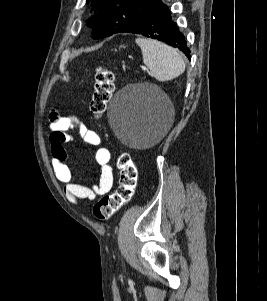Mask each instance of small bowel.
Instances as JSON below:
<instances>
[{"instance_id":"obj_1","label":"small bowel","mask_w":267,"mask_h":301,"mask_svg":"<svg viewBox=\"0 0 267 301\" xmlns=\"http://www.w3.org/2000/svg\"><path fill=\"white\" fill-rule=\"evenodd\" d=\"M50 142L52 154V167L57 179L65 185L64 189L68 199L75 203L77 199L94 200L98 196L108 193L113 186V168L110 164L111 152L102 146L100 135L89 129L86 124L75 115L50 116ZM77 129L82 141L95 147L94 159L100 167L99 179L95 184H85L73 178L72 171L67 164V154L64 144L74 140L70 131Z\"/></svg>"}]
</instances>
